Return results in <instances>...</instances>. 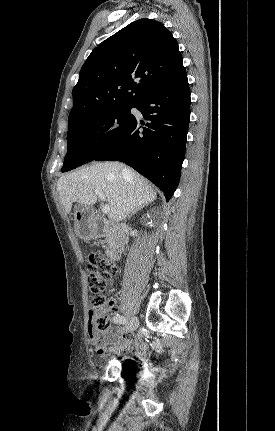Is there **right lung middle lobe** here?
<instances>
[{"label": "right lung middle lobe", "instance_id": "right-lung-middle-lobe-1", "mask_svg": "<svg viewBox=\"0 0 275 431\" xmlns=\"http://www.w3.org/2000/svg\"><path fill=\"white\" fill-rule=\"evenodd\" d=\"M133 105H117L87 114L68 123L67 147L62 172L95 160L133 123Z\"/></svg>", "mask_w": 275, "mask_h": 431}]
</instances>
